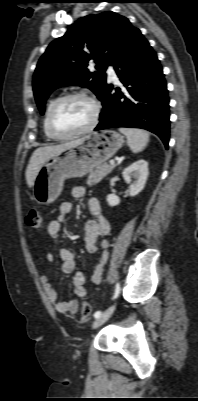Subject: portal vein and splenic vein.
<instances>
[{
    "label": "portal vein and splenic vein",
    "instance_id": "obj_1",
    "mask_svg": "<svg viewBox=\"0 0 198 401\" xmlns=\"http://www.w3.org/2000/svg\"><path fill=\"white\" fill-rule=\"evenodd\" d=\"M110 164H111V165H115V161H114V160H111V161H110Z\"/></svg>",
    "mask_w": 198,
    "mask_h": 401
}]
</instances>
